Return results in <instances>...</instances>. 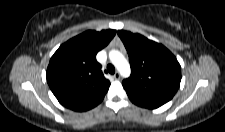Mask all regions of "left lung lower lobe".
I'll list each match as a JSON object with an SVG mask.
<instances>
[{
    "label": "left lung lower lobe",
    "instance_id": "obj_1",
    "mask_svg": "<svg viewBox=\"0 0 225 132\" xmlns=\"http://www.w3.org/2000/svg\"><path fill=\"white\" fill-rule=\"evenodd\" d=\"M130 100L134 104H136V105H138L140 107L148 108V109H155V108L160 107L164 103H166V102L142 101V100H135V99H131V98H130Z\"/></svg>",
    "mask_w": 225,
    "mask_h": 132
}]
</instances>
